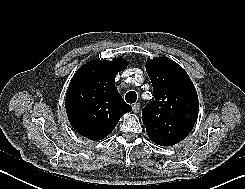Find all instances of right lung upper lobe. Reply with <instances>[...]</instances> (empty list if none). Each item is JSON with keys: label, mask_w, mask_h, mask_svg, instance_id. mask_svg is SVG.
Returning <instances> with one entry per match:
<instances>
[{"label": "right lung upper lobe", "mask_w": 245, "mask_h": 189, "mask_svg": "<svg viewBox=\"0 0 245 189\" xmlns=\"http://www.w3.org/2000/svg\"><path fill=\"white\" fill-rule=\"evenodd\" d=\"M128 62L90 60L73 76L66 93L65 107L73 128L91 140H101L116 127L121 116L132 111L115 87V77Z\"/></svg>", "instance_id": "right-lung-upper-lobe-1"}]
</instances>
